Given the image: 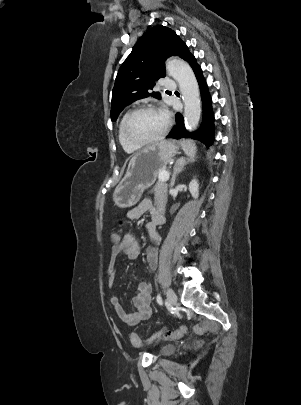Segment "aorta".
<instances>
[{
    "instance_id": "1",
    "label": "aorta",
    "mask_w": 301,
    "mask_h": 405,
    "mask_svg": "<svg viewBox=\"0 0 301 405\" xmlns=\"http://www.w3.org/2000/svg\"><path fill=\"white\" fill-rule=\"evenodd\" d=\"M167 72L179 84L184 102L185 127L188 131H194L201 116V102L199 98V86L193 70L185 61L173 58L166 64Z\"/></svg>"
}]
</instances>
